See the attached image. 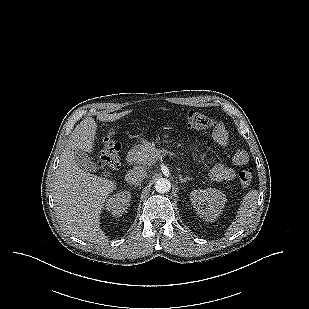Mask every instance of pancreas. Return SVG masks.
Masks as SVG:
<instances>
[{"label": "pancreas", "instance_id": "pancreas-1", "mask_svg": "<svg viewBox=\"0 0 309 309\" xmlns=\"http://www.w3.org/2000/svg\"><path fill=\"white\" fill-rule=\"evenodd\" d=\"M160 158V152L156 149L152 142L144 141L136 155V162L145 166L151 165Z\"/></svg>", "mask_w": 309, "mask_h": 309}]
</instances>
